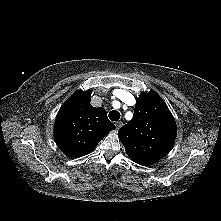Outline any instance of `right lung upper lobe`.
Returning a JSON list of instances; mask_svg holds the SVG:
<instances>
[{
    "mask_svg": "<svg viewBox=\"0 0 221 221\" xmlns=\"http://www.w3.org/2000/svg\"><path fill=\"white\" fill-rule=\"evenodd\" d=\"M90 90H77L60 108L54 126V139L59 149L71 158L94 150L115 125L104 108L90 104Z\"/></svg>",
    "mask_w": 221,
    "mask_h": 221,
    "instance_id": "cb5924a9",
    "label": "right lung upper lobe"
}]
</instances>
